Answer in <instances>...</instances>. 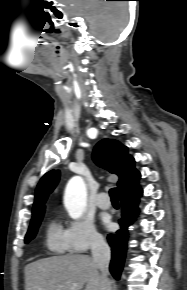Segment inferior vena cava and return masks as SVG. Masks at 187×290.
Returning <instances> with one entry per match:
<instances>
[{
    "mask_svg": "<svg viewBox=\"0 0 187 290\" xmlns=\"http://www.w3.org/2000/svg\"><path fill=\"white\" fill-rule=\"evenodd\" d=\"M93 261L101 271L103 276L108 274V266L111 258V252L108 244L103 237L97 236L93 239L91 245Z\"/></svg>",
    "mask_w": 187,
    "mask_h": 290,
    "instance_id": "inferior-vena-cava-1",
    "label": "inferior vena cava"
}]
</instances>
